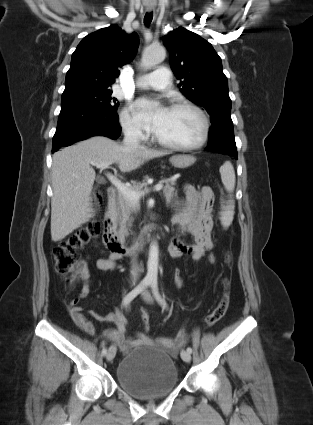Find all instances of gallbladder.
Instances as JSON below:
<instances>
[{"label": "gallbladder", "instance_id": "1", "mask_svg": "<svg viewBox=\"0 0 313 425\" xmlns=\"http://www.w3.org/2000/svg\"><path fill=\"white\" fill-rule=\"evenodd\" d=\"M98 180H99V182H101V183H102V180H101V179H99V178H98Z\"/></svg>", "mask_w": 313, "mask_h": 425}]
</instances>
